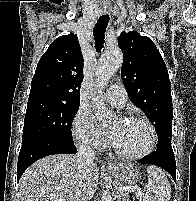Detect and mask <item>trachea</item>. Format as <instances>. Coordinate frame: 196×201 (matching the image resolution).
<instances>
[{"mask_svg": "<svg viewBox=\"0 0 196 201\" xmlns=\"http://www.w3.org/2000/svg\"><path fill=\"white\" fill-rule=\"evenodd\" d=\"M109 22V15H101L94 27L95 47L97 51H101L105 42V32Z\"/></svg>", "mask_w": 196, "mask_h": 201, "instance_id": "1", "label": "trachea"}]
</instances>
